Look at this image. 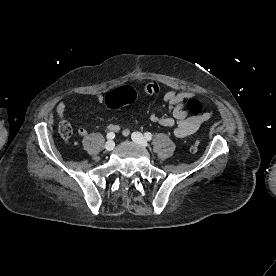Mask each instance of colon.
<instances>
[{
  "label": "colon",
  "mask_w": 276,
  "mask_h": 276,
  "mask_svg": "<svg viewBox=\"0 0 276 276\" xmlns=\"http://www.w3.org/2000/svg\"><path fill=\"white\" fill-rule=\"evenodd\" d=\"M142 93L144 95H152L155 93V90L153 89V87L145 86L142 90ZM136 96V91L132 87L126 86L121 89L110 92L106 97V103L108 106L116 108L121 105L133 102ZM185 105L188 111L192 114L201 115L203 113V106L196 99L185 100ZM59 133L64 139H69L73 134V128L68 122L62 121L59 124ZM198 149L199 143L197 141L193 142L189 147V150L192 153L197 152Z\"/></svg>",
  "instance_id": "1"
}]
</instances>
